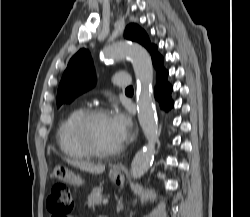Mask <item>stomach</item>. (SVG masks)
Listing matches in <instances>:
<instances>
[{
	"instance_id": "stomach-1",
	"label": "stomach",
	"mask_w": 250,
	"mask_h": 217,
	"mask_svg": "<svg viewBox=\"0 0 250 217\" xmlns=\"http://www.w3.org/2000/svg\"><path fill=\"white\" fill-rule=\"evenodd\" d=\"M53 176L56 179L71 185L81 186L83 184V180L80 177L76 176L72 171H70L65 166H60V165L56 166L53 170ZM109 178L115 183L116 182L119 183L124 180V177L120 170L110 171Z\"/></svg>"
}]
</instances>
